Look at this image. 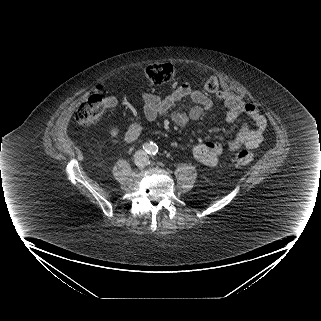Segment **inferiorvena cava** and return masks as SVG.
I'll use <instances>...</instances> for the list:
<instances>
[{
  "label": "inferior vena cava",
  "instance_id": "602c4592",
  "mask_svg": "<svg viewBox=\"0 0 321 321\" xmlns=\"http://www.w3.org/2000/svg\"><path fill=\"white\" fill-rule=\"evenodd\" d=\"M135 162L138 166H145L149 162V157L147 153L143 150H139L135 155Z\"/></svg>",
  "mask_w": 321,
  "mask_h": 321
}]
</instances>
